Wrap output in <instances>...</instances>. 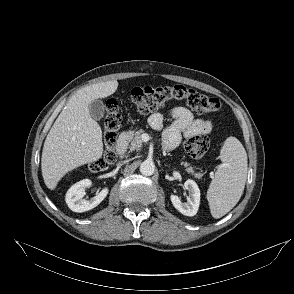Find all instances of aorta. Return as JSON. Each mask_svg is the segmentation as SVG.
Masks as SVG:
<instances>
[{
    "mask_svg": "<svg viewBox=\"0 0 294 294\" xmlns=\"http://www.w3.org/2000/svg\"><path fill=\"white\" fill-rule=\"evenodd\" d=\"M140 172L145 176H151L155 172V164L150 160H145L140 165Z\"/></svg>",
    "mask_w": 294,
    "mask_h": 294,
    "instance_id": "1",
    "label": "aorta"
}]
</instances>
